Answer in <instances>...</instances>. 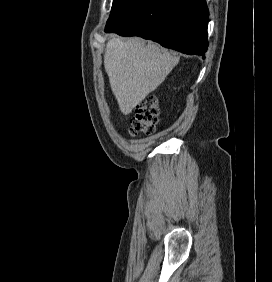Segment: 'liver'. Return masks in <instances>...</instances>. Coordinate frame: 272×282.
Wrapping results in <instances>:
<instances>
[{
    "mask_svg": "<svg viewBox=\"0 0 272 282\" xmlns=\"http://www.w3.org/2000/svg\"><path fill=\"white\" fill-rule=\"evenodd\" d=\"M179 57L161 50L156 43L138 37L112 38L106 45L104 67L112 92L124 115L140 104L165 80Z\"/></svg>",
    "mask_w": 272,
    "mask_h": 282,
    "instance_id": "liver-1",
    "label": "liver"
}]
</instances>
